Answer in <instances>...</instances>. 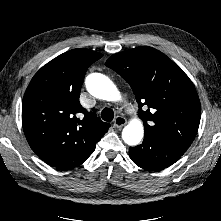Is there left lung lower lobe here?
I'll list each match as a JSON object with an SVG mask.
<instances>
[{"label": "left lung lower lobe", "mask_w": 221, "mask_h": 221, "mask_svg": "<svg viewBox=\"0 0 221 221\" xmlns=\"http://www.w3.org/2000/svg\"><path fill=\"white\" fill-rule=\"evenodd\" d=\"M185 151L144 136L143 143L129 148L131 160L146 170H160L175 163Z\"/></svg>", "instance_id": "obj_1"}]
</instances>
